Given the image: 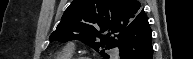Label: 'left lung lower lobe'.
<instances>
[{
  "mask_svg": "<svg viewBox=\"0 0 193 59\" xmlns=\"http://www.w3.org/2000/svg\"><path fill=\"white\" fill-rule=\"evenodd\" d=\"M115 47H119L120 59H153L152 31L145 13L122 33Z\"/></svg>",
  "mask_w": 193,
  "mask_h": 59,
  "instance_id": "0a47b994",
  "label": "left lung lower lobe"
}]
</instances>
